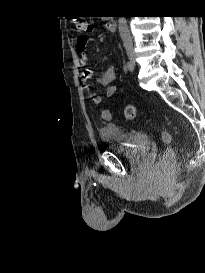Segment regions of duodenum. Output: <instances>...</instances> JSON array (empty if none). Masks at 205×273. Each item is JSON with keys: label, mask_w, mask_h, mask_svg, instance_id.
<instances>
[{"label": "duodenum", "mask_w": 205, "mask_h": 273, "mask_svg": "<svg viewBox=\"0 0 205 273\" xmlns=\"http://www.w3.org/2000/svg\"><path fill=\"white\" fill-rule=\"evenodd\" d=\"M105 29L108 32H113L115 29V20L112 18H108L105 22Z\"/></svg>", "instance_id": "1"}]
</instances>
